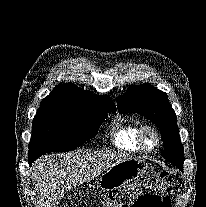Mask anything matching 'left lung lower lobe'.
<instances>
[{
    "mask_svg": "<svg viewBox=\"0 0 206 207\" xmlns=\"http://www.w3.org/2000/svg\"><path fill=\"white\" fill-rule=\"evenodd\" d=\"M180 170H183V167H179Z\"/></svg>",
    "mask_w": 206,
    "mask_h": 207,
    "instance_id": "0a47b994",
    "label": "left lung lower lobe"
}]
</instances>
